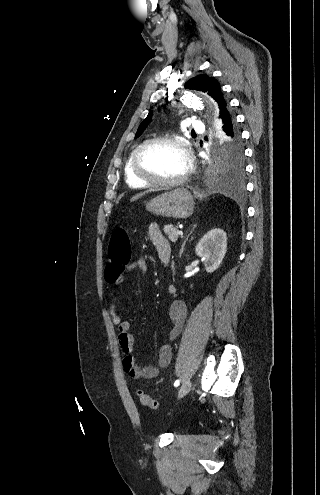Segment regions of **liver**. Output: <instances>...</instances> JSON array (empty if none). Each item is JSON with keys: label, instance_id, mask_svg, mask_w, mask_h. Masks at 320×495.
<instances>
[{"label": "liver", "instance_id": "6515ba94", "mask_svg": "<svg viewBox=\"0 0 320 495\" xmlns=\"http://www.w3.org/2000/svg\"><path fill=\"white\" fill-rule=\"evenodd\" d=\"M148 192H151V191H147V193ZM144 194H145V192L144 193H139V194L135 195L134 197H132L130 201H136L137 199H139L140 197H142Z\"/></svg>", "mask_w": 320, "mask_h": 495}]
</instances>
